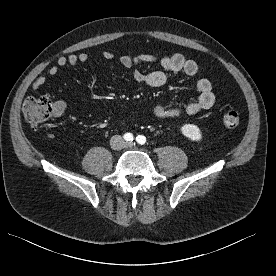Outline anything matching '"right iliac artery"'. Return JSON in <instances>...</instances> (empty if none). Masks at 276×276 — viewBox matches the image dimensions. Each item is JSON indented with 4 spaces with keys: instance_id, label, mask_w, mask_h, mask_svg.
Returning <instances> with one entry per match:
<instances>
[{
    "instance_id": "right-iliac-artery-1",
    "label": "right iliac artery",
    "mask_w": 276,
    "mask_h": 276,
    "mask_svg": "<svg viewBox=\"0 0 276 276\" xmlns=\"http://www.w3.org/2000/svg\"><path fill=\"white\" fill-rule=\"evenodd\" d=\"M123 137H124L125 141H127V142H131L134 139V136L132 133H125Z\"/></svg>"
}]
</instances>
